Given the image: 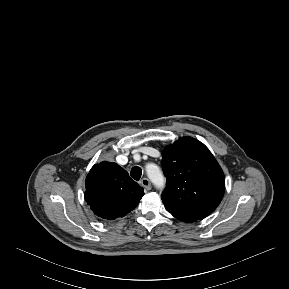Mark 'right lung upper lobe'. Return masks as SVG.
<instances>
[{"label": "right lung upper lobe", "mask_w": 289, "mask_h": 289, "mask_svg": "<svg viewBox=\"0 0 289 289\" xmlns=\"http://www.w3.org/2000/svg\"><path fill=\"white\" fill-rule=\"evenodd\" d=\"M85 183V201L97 216L107 220L128 214L144 195L126 170L107 161L95 164Z\"/></svg>", "instance_id": "obj_1"}]
</instances>
